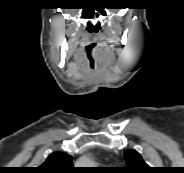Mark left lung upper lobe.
Returning a JSON list of instances; mask_svg holds the SVG:
<instances>
[{"label": "left lung upper lobe", "mask_w": 184, "mask_h": 173, "mask_svg": "<svg viewBox=\"0 0 184 173\" xmlns=\"http://www.w3.org/2000/svg\"><path fill=\"white\" fill-rule=\"evenodd\" d=\"M127 167L123 168L126 173H149V166L135 150H127L124 153Z\"/></svg>", "instance_id": "1"}]
</instances>
